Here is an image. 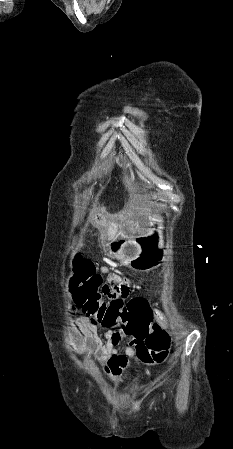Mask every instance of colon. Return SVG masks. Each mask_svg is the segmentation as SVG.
<instances>
[{
	"label": "colon",
	"instance_id": "obj_1",
	"mask_svg": "<svg viewBox=\"0 0 233 449\" xmlns=\"http://www.w3.org/2000/svg\"><path fill=\"white\" fill-rule=\"evenodd\" d=\"M103 276L95 265L77 254L73 262L71 290L73 302L85 315H90L94 328H120L121 334H136L137 349H152L167 353L170 339L155 326L153 311L146 310V301H121L115 296L113 303L105 302L101 291Z\"/></svg>",
	"mask_w": 233,
	"mask_h": 449
}]
</instances>
